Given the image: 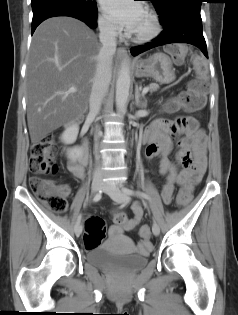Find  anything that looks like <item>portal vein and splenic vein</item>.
Wrapping results in <instances>:
<instances>
[{
  "instance_id": "18ae733b",
  "label": "portal vein and splenic vein",
  "mask_w": 238,
  "mask_h": 315,
  "mask_svg": "<svg viewBox=\"0 0 238 315\" xmlns=\"http://www.w3.org/2000/svg\"><path fill=\"white\" fill-rule=\"evenodd\" d=\"M149 91V87H145L142 91L143 94H146ZM69 92H76V88L71 87L69 88Z\"/></svg>"
}]
</instances>
